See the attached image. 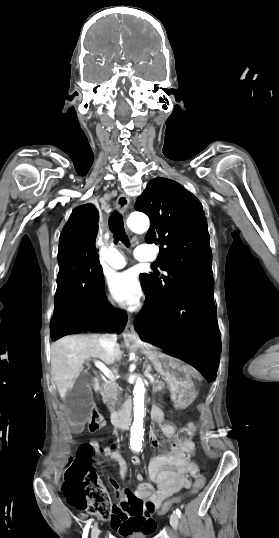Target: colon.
Wrapping results in <instances>:
<instances>
[{"mask_svg": "<svg viewBox=\"0 0 279 538\" xmlns=\"http://www.w3.org/2000/svg\"><path fill=\"white\" fill-rule=\"evenodd\" d=\"M103 425L101 417L95 419V429H99ZM194 432L195 425L188 423L178 431L175 438L179 444L187 446L186 458L189 471L196 477L192 495L199 493L205 484L204 477L198 472L197 452L191 442ZM108 452L117 454V449L113 446L96 450L90 444H84L78 448L76 456L70 459L64 475L62 490L66 500L75 508L88 510L101 520H110L113 516L123 518L152 516L156 510L154 503L137 497L131 491H127V498L120 503H112L109 492L100 482L91 466L92 460L97 458L99 453L107 457ZM179 502L180 500L166 501L159 512L165 513Z\"/></svg>", "mask_w": 279, "mask_h": 538, "instance_id": "1", "label": "colon"}]
</instances>
